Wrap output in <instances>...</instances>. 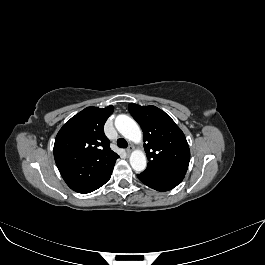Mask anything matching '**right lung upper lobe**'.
Masks as SVG:
<instances>
[{"instance_id": "right-lung-upper-lobe-1", "label": "right lung upper lobe", "mask_w": 265, "mask_h": 265, "mask_svg": "<svg viewBox=\"0 0 265 265\" xmlns=\"http://www.w3.org/2000/svg\"><path fill=\"white\" fill-rule=\"evenodd\" d=\"M113 110L112 105L104 109L87 107L67 121L56 136V165L66 184L76 192L112 171L119 158L104 134V124Z\"/></svg>"}]
</instances>
